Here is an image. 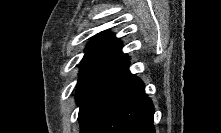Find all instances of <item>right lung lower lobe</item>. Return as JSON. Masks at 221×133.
<instances>
[{
  "label": "right lung lower lobe",
  "instance_id": "98d812e1",
  "mask_svg": "<svg viewBox=\"0 0 221 133\" xmlns=\"http://www.w3.org/2000/svg\"><path fill=\"white\" fill-rule=\"evenodd\" d=\"M124 62L98 76L80 105L81 133H155L144 83Z\"/></svg>",
  "mask_w": 221,
  "mask_h": 133
}]
</instances>
